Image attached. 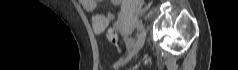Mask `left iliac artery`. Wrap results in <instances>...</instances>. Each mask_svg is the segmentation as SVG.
<instances>
[{
  "instance_id": "44dca946",
  "label": "left iliac artery",
  "mask_w": 238,
  "mask_h": 70,
  "mask_svg": "<svg viewBox=\"0 0 238 70\" xmlns=\"http://www.w3.org/2000/svg\"><path fill=\"white\" fill-rule=\"evenodd\" d=\"M142 26L141 25H137V30H141Z\"/></svg>"
}]
</instances>
